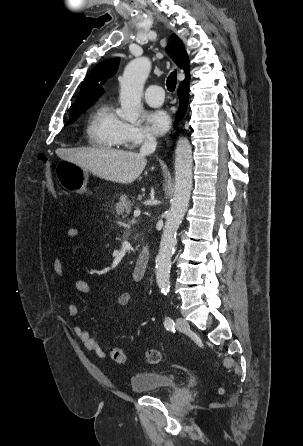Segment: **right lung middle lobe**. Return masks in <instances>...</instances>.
Listing matches in <instances>:
<instances>
[{"label":"right lung middle lobe","mask_w":303,"mask_h":446,"mask_svg":"<svg viewBox=\"0 0 303 446\" xmlns=\"http://www.w3.org/2000/svg\"><path fill=\"white\" fill-rule=\"evenodd\" d=\"M94 103L87 104L81 107L74 108L70 114L69 124H72L81 113L86 111L88 108H90Z\"/></svg>","instance_id":"dd1d6c3e"}]
</instances>
